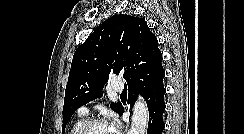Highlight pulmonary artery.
Listing matches in <instances>:
<instances>
[{"mask_svg": "<svg viewBox=\"0 0 244 134\" xmlns=\"http://www.w3.org/2000/svg\"><path fill=\"white\" fill-rule=\"evenodd\" d=\"M112 89H113V91H115V92H122L123 89H124V84H123V82H122V81H119V80L114 81L113 84H112ZM87 112H88V109H87V107H85V106H83V107H81V108L79 109V113H80L81 115H85V114H87Z\"/></svg>", "mask_w": 244, "mask_h": 134, "instance_id": "e3ab8cb5", "label": "pulmonary artery"}]
</instances>
